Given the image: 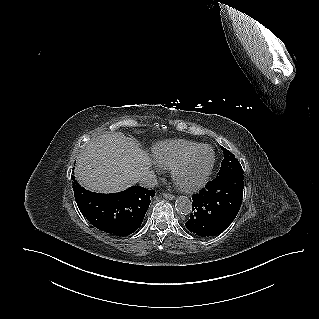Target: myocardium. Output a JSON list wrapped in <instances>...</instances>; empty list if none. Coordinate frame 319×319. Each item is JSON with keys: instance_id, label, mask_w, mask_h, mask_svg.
<instances>
[{"instance_id": "myocardium-1", "label": "myocardium", "mask_w": 319, "mask_h": 319, "mask_svg": "<svg viewBox=\"0 0 319 319\" xmlns=\"http://www.w3.org/2000/svg\"><path fill=\"white\" fill-rule=\"evenodd\" d=\"M202 148H209L212 152V160L209 164L208 168L206 169L203 176L197 180L194 183L186 184L182 182L181 180V173L184 170V168L187 166V164L190 162V160L196 155V153L202 149ZM216 164V153L213 147H211L208 144H200L193 150H191L189 153H187L173 168H172V179L174 184L182 191L184 192H196L203 188L207 182L209 181V178L214 170Z\"/></svg>"}]
</instances>
